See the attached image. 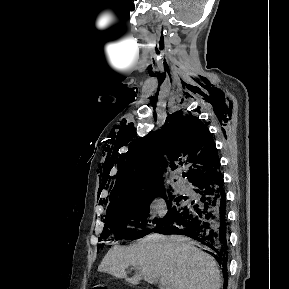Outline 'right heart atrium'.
Listing matches in <instances>:
<instances>
[{"mask_svg":"<svg viewBox=\"0 0 289 289\" xmlns=\"http://www.w3.org/2000/svg\"><path fill=\"white\" fill-rule=\"evenodd\" d=\"M150 216L155 219H162L166 213V203L163 197L155 196L148 204Z\"/></svg>","mask_w":289,"mask_h":289,"instance_id":"1","label":"right heart atrium"}]
</instances>
